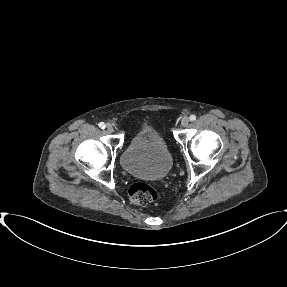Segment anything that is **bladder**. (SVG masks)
<instances>
[{"label": "bladder", "instance_id": "bladder-1", "mask_svg": "<svg viewBox=\"0 0 287 287\" xmlns=\"http://www.w3.org/2000/svg\"><path fill=\"white\" fill-rule=\"evenodd\" d=\"M120 160L129 174L149 179L165 177L173 166V155L165 141L148 127L133 136Z\"/></svg>", "mask_w": 287, "mask_h": 287}]
</instances>
